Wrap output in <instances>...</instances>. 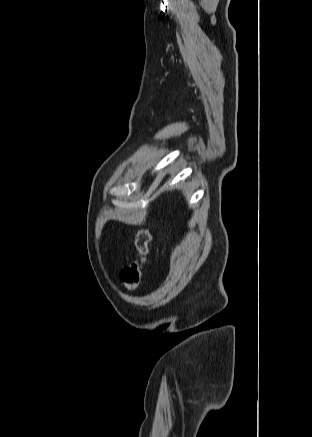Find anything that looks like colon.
<instances>
[{
  "label": "colon",
  "mask_w": 312,
  "mask_h": 437,
  "mask_svg": "<svg viewBox=\"0 0 312 437\" xmlns=\"http://www.w3.org/2000/svg\"><path fill=\"white\" fill-rule=\"evenodd\" d=\"M151 235L146 228L137 231L134 240L136 254L134 259L119 273L120 282L128 290H134L140 283L144 264L147 260Z\"/></svg>",
  "instance_id": "obj_1"
}]
</instances>
